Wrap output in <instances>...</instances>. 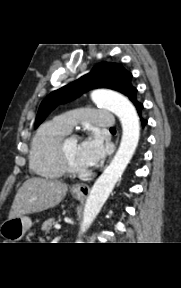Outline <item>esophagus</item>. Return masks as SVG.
I'll use <instances>...</instances> for the list:
<instances>
[{
	"label": "esophagus",
	"instance_id": "obj_1",
	"mask_svg": "<svg viewBox=\"0 0 181 288\" xmlns=\"http://www.w3.org/2000/svg\"><path fill=\"white\" fill-rule=\"evenodd\" d=\"M118 144V138L116 140V145ZM110 160V159H109ZM72 192L81 197H87L90 193V186L86 183H78L73 185Z\"/></svg>",
	"mask_w": 181,
	"mask_h": 288
}]
</instances>
